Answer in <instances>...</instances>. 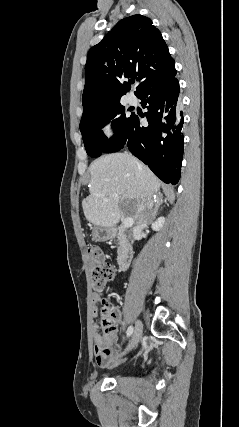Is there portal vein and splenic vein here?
<instances>
[{
    "instance_id": "portal-vein-and-splenic-vein-1",
    "label": "portal vein and splenic vein",
    "mask_w": 239,
    "mask_h": 427,
    "mask_svg": "<svg viewBox=\"0 0 239 427\" xmlns=\"http://www.w3.org/2000/svg\"><path fill=\"white\" fill-rule=\"evenodd\" d=\"M133 223H134V220H133L132 218H125V219L123 220V226H124V227L132 226V225H133Z\"/></svg>"
}]
</instances>
